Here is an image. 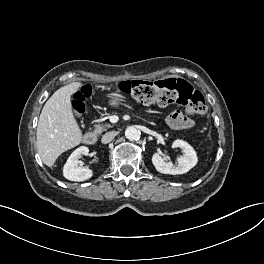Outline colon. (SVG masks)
<instances>
[{
    "mask_svg": "<svg viewBox=\"0 0 264 264\" xmlns=\"http://www.w3.org/2000/svg\"><path fill=\"white\" fill-rule=\"evenodd\" d=\"M118 89L139 103L166 106L179 104L186 107L190 115H200L206 112V104L202 93L183 79H165L160 81L126 80L118 84ZM90 93L81 89L74 98L75 113L81 116L85 112L84 102Z\"/></svg>",
    "mask_w": 264,
    "mask_h": 264,
    "instance_id": "obj_1",
    "label": "colon"
}]
</instances>
